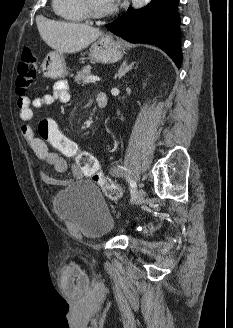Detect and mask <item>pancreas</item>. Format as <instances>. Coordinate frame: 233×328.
I'll list each match as a JSON object with an SVG mask.
<instances>
[{
    "mask_svg": "<svg viewBox=\"0 0 233 328\" xmlns=\"http://www.w3.org/2000/svg\"><path fill=\"white\" fill-rule=\"evenodd\" d=\"M90 76H92L91 67L90 66H85L75 76L74 81L78 84H86L87 83V78L90 77Z\"/></svg>",
    "mask_w": 233,
    "mask_h": 328,
    "instance_id": "1",
    "label": "pancreas"
}]
</instances>
